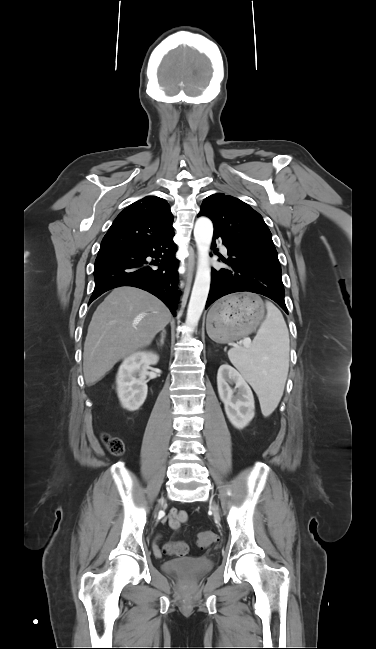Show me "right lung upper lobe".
Here are the masks:
<instances>
[{
    "instance_id": "1",
    "label": "right lung upper lobe",
    "mask_w": 376,
    "mask_h": 649,
    "mask_svg": "<svg viewBox=\"0 0 376 649\" xmlns=\"http://www.w3.org/2000/svg\"><path fill=\"white\" fill-rule=\"evenodd\" d=\"M173 215L162 198L147 196L125 208L104 236L98 253L135 246L173 231Z\"/></svg>"
}]
</instances>
